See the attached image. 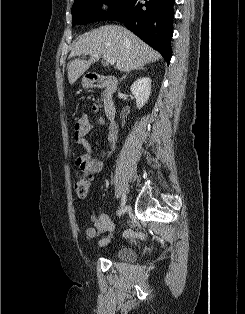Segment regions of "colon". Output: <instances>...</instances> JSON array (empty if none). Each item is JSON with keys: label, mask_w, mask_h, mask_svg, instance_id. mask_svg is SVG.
Returning <instances> with one entry per match:
<instances>
[{"label": "colon", "mask_w": 245, "mask_h": 314, "mask_svg": "<svg viewBox=\"0 0 245 314\" xmlns=\"http://www.w3.org/2000/svg\"><path fill=\"white\" fill-rule=\"evenodd\" d=\"M91 177L90 171L83 170L74 180V189L80 198H85L88 195Z\"/></svg>", "instance_id": "obj_1"}]
</instances>
